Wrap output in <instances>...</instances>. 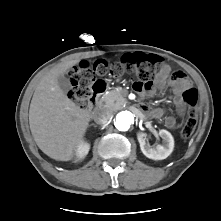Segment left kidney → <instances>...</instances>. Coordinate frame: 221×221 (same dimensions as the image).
Wrapping results in <instances>:
<instances>
[{"label":"left kidney","instance_id":"obj_1","mask_svg":"<svg viewBox=\"0 0 221 221\" xmlns=\"http://www.w3.org/2000/svg\"><path fill=\"white\" fill-rule=\"evenodd\" d=\"M159 135L163 139V144L155 147H151L146 143L143 133H138L137 135L142 153L153 160H163L167 158L174 149V139L170 132L162 129L159 131Z\"/></svg>","mask_w":221,"mask_h":221}]
</instances>
